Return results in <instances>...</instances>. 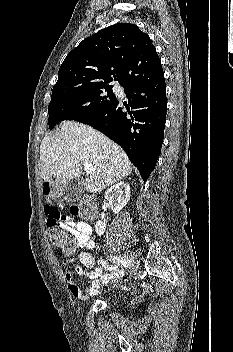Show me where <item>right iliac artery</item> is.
Returning a JSON list of instances; mask_svg holds the SVG:
<instances>
[{
	"instance_id": "82829eb1",
	"label": "right iliac artery",
	"mask_w": 233,
	"mask_h": 352,
	"mask_svg": "<svg viewBox=\"0 0 233 352\" xmlns=\"http://www.w3.org/2000/svg\"><path fill=\"white\" fill-rule=\"evenodd\" d=\"M111 260L113 261V263L117 264V265H122L124 267H128L129 266V259H127L126 257H122V256H111ZM116 266V265H115Z\"/></svg>"
}]
</instances>
